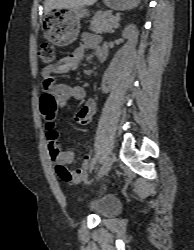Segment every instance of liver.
<instances>
[{"label": "liver", "mask_w": 194, "mask_h": 250, "mask_svg": "<svg viewBox=\"0 0 194 250\" xmlns=\"http://www.w3.org/2000/svg\"><path fill=\"white\" fill-rule=\"evenodd\" d=\"M97 0H46L44 4L45 14L54 8L74 9L90 6Z\"/></svg>", "instance_id": "1"}]
</instances>
